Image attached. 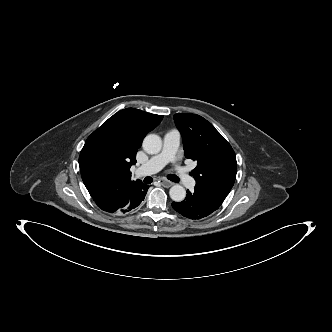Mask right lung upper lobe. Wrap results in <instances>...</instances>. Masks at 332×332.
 <instances>
[{"label": "right lung upper lobe", "mask_w": 332, "mask_h": 332, "mask_svg": "<svg viewBox=\"0 0 332 332\" xmlns=\"http://www.w3.org/2000/svg\"><path fill=\"white\" fill-rule=\"evenodd\" d=\"M162 118L161 115L127 108L114 114L97 129L112 128L118 135L122 148L108 165H94L84 157L83 153H80L79 167L82 180L94 200L139 182L131 179L130 168L136 163V153L144 137L161 122ZM91 135L85 143L90 142Z\"/></svg>", "instance_id": "1"}]
</instances>
